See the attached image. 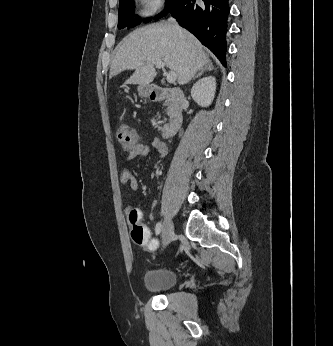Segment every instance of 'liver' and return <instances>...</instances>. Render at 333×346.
<instances>
[{"mask_svg": "<svg viewBox=\"0 0 333 346\" xmlns=\"http://www.w3.org/2000/svg\"><path fill=\"white\" fill-rule=\"evenodd\" d=\"M156 61H162L176 73L179 85L188 83L210 62L191 33L172 23H156L136 29L124 38L111 63L109 78L135 70L125 83L148 86L157 75Z\"/></svg>", "mask_w": 333, "mask_h": 346, "instance_id": "obj_1", "label": "liver"}]
</instances>
